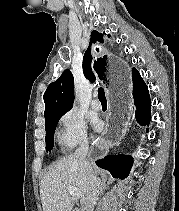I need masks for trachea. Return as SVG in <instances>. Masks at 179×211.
Segmentation results:
<instances>
[{
	"instance_id": "3493384b",
	"label": "trachea",
	"mask_w": 179,
	"mask_h": 211,
	"mask_svg": "<svg viewBox=\"0 0 179 211\" xmlns=\"http://www.w3.org/2000/svg\"><path fill=\"white\" fill-rule=\"evenodd\" d=\"M98 98L100 101H106L104 89L101 87L98 89Z\"/></svg>"
}]
</instances>
